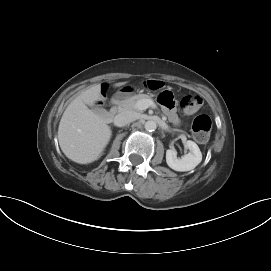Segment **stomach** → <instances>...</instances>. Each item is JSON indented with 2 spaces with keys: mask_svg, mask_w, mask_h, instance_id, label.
<instances>
[{
  "mask_svg": "<svg viewBox=\"0 0 271 271\" xmlns=\"http://www.w3.org/2000/svg\"><path fill=\"white\" fill-rule=\"evenodd\" d=\"M133 93H134V88L133 87H131V86H123L116 92L113 99L115 101H119V100H121V99H123L125 97L130 96Z\"/></svg>",
  "mask_w": 271,
  "mask_h": 271,
  "instance_id": "1",
  "label": "stomach"
}]
</instances>
